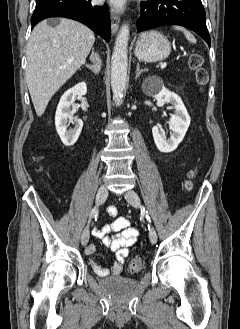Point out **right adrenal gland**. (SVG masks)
<instances>
[{
  "label": "right adrenal gland",
  "mask_w": 240,
  "mask_h": 329,
  "mask_svg": "<svg viewBox=\"0 0 240 329\" xmlns=\"http://www.w3.org/2000/svg\"><path fill=\"white\" fill-rule=\"evenodd\" d=\"M90 60L92 61L93 64L86 65V67L96 75L100 72L102 62L99 55L96 52H94V49H92Z\"/></svg>",
  "instance_id": "1"
}]
</instances>
